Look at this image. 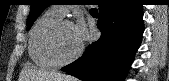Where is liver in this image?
Returning a JSON list of instances; mask_svg holds the SVG:
<instances>
[{
    "mask_svg": "<svg viewBox=\"0 0 169 81\" xmlns=\"http://www.w3.org/2000/svg\"><path fill=\"white\" fill-rule=\"evenodd\" d=\"M24 81H76L74 77L57 72L38 70L25 66L23 70Z\"/></svg>",
    "mask_w": 169,
    "mask_h": 81,
    "instance_id": "6515ba94",
    "label": "liver"
}]
</instances>
